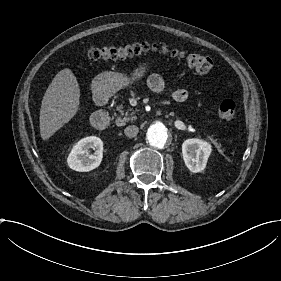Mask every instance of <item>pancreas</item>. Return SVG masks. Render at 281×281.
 Masks as SVG:
<instances>
[{"label":"pancreas","instance_id":"1","mask_svg":"<svg viewBox=\"0 0 281 281\" xmlns=\"http://www.w3.org/2000/svg\"><path fill=\"white\" fill-rule=\"evenodd\" d=\"M116 110H118L120 112V114L122 115V118H117L115 121L117 126H123L127 123H133L137 119V117L134 115L136 113V111H131L130 116H129L130 110H127L126 112L123 111L122 105L116 106Z\"/></svg>","mask_w":281,"mask_h":281}]
</instances>
